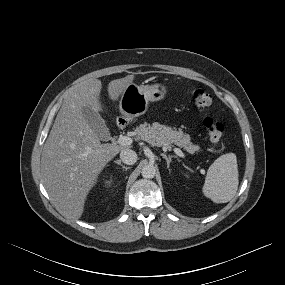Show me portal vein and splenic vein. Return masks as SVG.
<instances>
[{
	"label": "portal vein and splenic vein",
	"mask_w": 285,
	"mask_h": 285,
	"mask_svg": "<svg viewBox=\"0 0 285 285\" xmlns=\"http://www.w3.org/2000/svg\"><path fill=\"white\" fill-rule=\"evenodd\" d=\"M132 139L128 136H120L118 138V143L124 146H129L132 144ZM174 152L180 156V157H184V153L179 149V148H174Z\"/></svg>",
	"instance_id": "portal-vein-and-splenic-vein-1"
}]
</instances>
